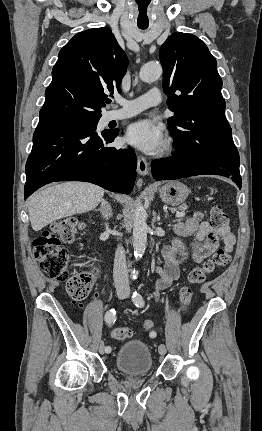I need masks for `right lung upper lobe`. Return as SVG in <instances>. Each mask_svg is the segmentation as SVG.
<instances>
[{"mask_svg": "<svg viewBox=\"0 0 262 431\" xmlns=\"http://www.w3.org/2000/svg\"><path fill=\"white\" fill-rule=\"evenodd\" d=\"M127 57L107 27L76 34L59 52L40 121L99 118L107 93L126 73Z\"/></svg>", "mask_w": 262, "mask_h": 431, "instance_id": "obj_1", "label": "right lung upper lobe"}]
</instances>
